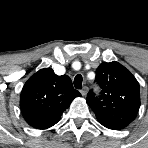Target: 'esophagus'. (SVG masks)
<instances>
[{
  "label": "esophagus",
  "mask_w": 148,
  "mask_h": 148,
  "mask_svg": "<svg viewBox=\"0 0 148 148\" xmlns=\"http://www.w3.org/2000/svg\"><path fill=\"white\" fill-rule=\"evenodd\" d=\"M87 92H88V88L86 86H84L82 89H81V94L83 96H86L87 95Z\"/></svg>",
  "instance_id": "34e87169"
}]
</instances>
